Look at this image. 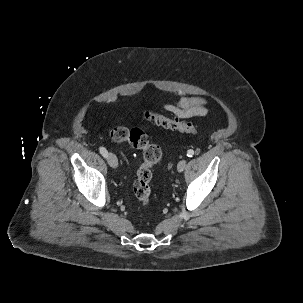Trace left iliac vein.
I'll use <instances>...</instances> for the list:
<instances>
[{
  "mask_svg": "<svg viewBox=\"0 0 303 303\" xmlns=\"http://www.w3.org/2000/svg\"><path fill=\"white\" fill-rule=\"evenodd\" d=\"M187 162L186 160H181L179 161L178 165H177V170L178 172H182L184 171V169L186 168Z\"/></svg>",
  "mask_w": 303,
  "mask_h": 303,
  "instance_id": "1",
  "label": "left iliac vein"
}]
</instances>
